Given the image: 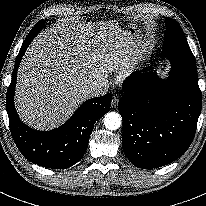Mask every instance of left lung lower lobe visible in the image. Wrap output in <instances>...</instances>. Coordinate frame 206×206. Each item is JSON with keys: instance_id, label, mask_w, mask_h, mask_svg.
<instances>
[{"instance_id": "obj_1", "label": "left lung lower lobe", "mask_w": 206, "mask_h": 206, "mask_svg": "<svg viewBox=\"0 0 206 206\" xmlns=\"http://www.w3.org/2000/svg\"><path fill=\"white\" fill-rule=\"evenodd\" d=\"M118 103L122 147L138 168H157L181 157L195 136L202 94L196 69L172 64L166 80L149 71L123 85Z\"/></svg>"}]
</instances>
